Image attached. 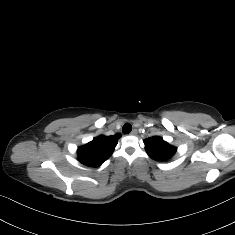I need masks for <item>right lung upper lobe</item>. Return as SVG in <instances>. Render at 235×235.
<instances>
[{"label":"right lung upper lobe","instance_id":"right-lung-upper-lobe-1","mask_svg":"<svg viewBox=\"0 0 235 235\" xmlns=\"http://www.w3.org/2000/svg\"><path fill=\"white\" fill-rule=\"evenodd\" d=\"M121 134L100 135L77 150L80 162L89 167H98L110 157Z\"/></svg>","mask_w":235,"mask_h":235}]
</instances>
